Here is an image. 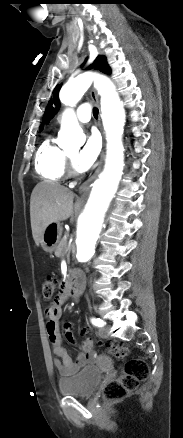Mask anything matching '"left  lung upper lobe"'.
I'll return each instance as SVG.
<instances>
[{
    "mask_svg": "<svg viewBox=\"0 0 183 438\" xmlns=\"http://www.w3.org/2000/svg\"><path fill=\"white\" fill-rule=\"evenodd\" d=\"M92 67H94L95 69H99L101 72H103L105 74L111 73V70L106 63V59L104 56H98L96 58V60L94 61V63L88 67V69H91ZM60 88H61V85H57L53 91V103L57 107H59L58 93H59ZM57 111H58V108L52 107V102H49L47 110H46L45 115H44V121L48 124L49 120L56 114ZM41 130H42V127H41Z\"/></svg>",
    "mask_w": 183,
    "mask_h": 438,
    "instance_id": "1",
    "label": "left lung upper lobe"
}]
</instances>
